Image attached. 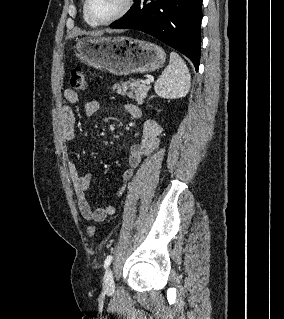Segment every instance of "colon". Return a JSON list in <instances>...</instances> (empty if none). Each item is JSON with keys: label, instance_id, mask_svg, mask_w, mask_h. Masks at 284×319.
I'll use <instances>...</instances> for the list:
<instances>
[{"label": "colon", "instance_id": "obj_1", "mask_svg": "<svg viewBox=\"0 0 284 319\" xmlns=\"http://www.w3.org/2000/svg\"><path fill=\"white\" fill-rule=\"evenodd\" d=\"M70 85L72 88L77 90L85 89L87 86V79L85 75L84 69L76 65L71 69L70 72ZM87 233L89 237H94L96 234V228L95 226H89L87 228Z\"/></svg>", "mask_w": 284, "mask_h": 319}]
</instances>
